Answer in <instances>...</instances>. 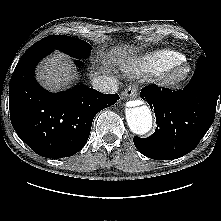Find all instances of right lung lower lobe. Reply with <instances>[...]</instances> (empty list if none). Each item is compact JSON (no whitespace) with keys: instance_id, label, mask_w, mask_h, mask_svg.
<instances>
[{"instance_id":"right-lung-lower-lobe-1","label":"right lung lower lobe","mask_w":221,"mask_h":221,"mask_svg":"<svg viewBox=\"0 0 221 221\" xmlns=\"http://www.w3.org/2000/svg\"><path fill=\"white\" fill-rule=\"evenodd\" d=\"M54 49L36 42L19 60L9 85L12 126L38 155L69 157L86 144L93 118L119 100L118 94H103L79 84L60 93H50L34 77L36 64ZM83 66L79 59L75 61Z\"/></svg>"}]
</instances>
